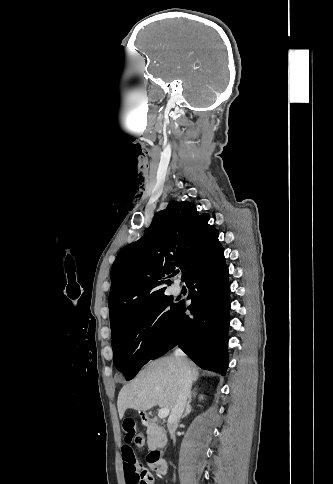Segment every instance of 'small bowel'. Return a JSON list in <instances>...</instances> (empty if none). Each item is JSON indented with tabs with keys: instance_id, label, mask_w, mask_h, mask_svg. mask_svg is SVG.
Listing matches in <instances>:
<instances>
[{
	"instance_id": "c3829d8e",
	"label": "small bowel",
	"mask_w": 333,
	"mask_h": 484,
	"mask_svg": "<svg viewBox=\"0 0 333 484\" xmlns=\"http://www.w3.org/2000/svg\"><path fill=\"white\" fill-rule=\"evenodd\" d=\"M125 442L122 446V460L126 484H154L153 475L139 463L132 442L137 434L136 422L132 417L123 420Z\"/></svg>"
}]
</instances>
